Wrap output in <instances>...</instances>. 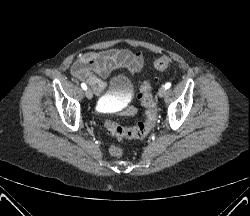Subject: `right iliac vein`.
I'll use <instances>...</instances> for the list:
<instances>
[{
	"label": "right iliac vein",
	"instance_id": "1",
	"mask_svg": "<svg viewBox=\"0 0 250 216\" xmlns=\"http://www.w3.org/2000/svg\"><path fill=\"white\" fill-rule=\"evenodd\" d=\"M85 95H86V97H87L88 99H92V97H93V92H92V90H91V89H86V90H85Z\"/></svg>",
	"mask_w": 250,
	"mask_h": 216
}]
</instances>
